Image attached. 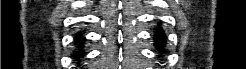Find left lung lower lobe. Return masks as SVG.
Returning a JSON list of instances; mask_svg holds the SVG:
<instances>
[{
    "mask_svg": "<svg viewBox=\"0 0 246 69\" xmlns=\"http://www.w3.org/2000/svg\"><path fill=\"white\" fill-rule=\"evenodd\" d=\"M161 22L158 23V28L155 29L154 41L155 46L163 53V48L166 43V35L160 26Z\"/></svg>",
    "mask_w": 246,
    "mask_h": 69,
    "instance_id": "0a47b994",
    "label": "left lung lower lobe"
}]
</instances>
